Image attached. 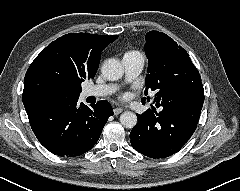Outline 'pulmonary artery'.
<instances>
[{"instance_id":"obj_1","label":"pulmonary artery","mask_w":240,"mask_h":191,"mask_svg":"<svg viewBox=\"0 0 240 191\" xmlns=\"http://www.w3.org/2000/svg\"><path fill=\"white\" fill-rule=\"evenodd\" d=\"M125 76L128 81L136 78L144 66V57L137 51H131L124 54L122 58ZM117 89L114 84L92 85L87 88V96L103 97L115 92Z\"/></svg>"}]
</instances>
